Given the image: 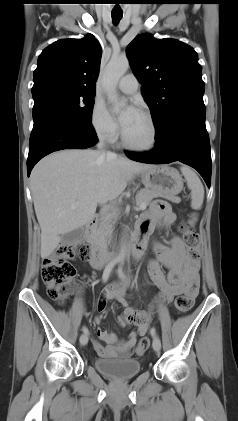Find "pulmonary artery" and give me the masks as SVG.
<instances>
[{"mask_svg":"<svg viewBox=\"0 0 238 421\" xmlns=\"http://www.w3.org/2000/svg\"><path fill=\"white\" fill-rule=\"evenodd\" d=\"M138 86V80L133 74H127L123 76L118 82V88L126 94L135 93L138 89Z\"/></svg>","mask_w":238,"mask_h":421,"instance_id":"pulmonary-artery-1","label":"pulmonary artery"}]
</instances>
